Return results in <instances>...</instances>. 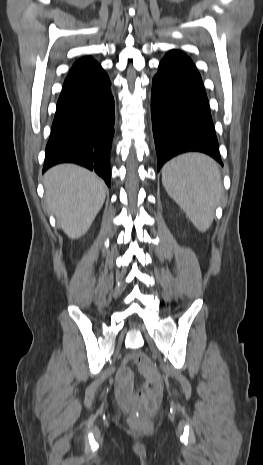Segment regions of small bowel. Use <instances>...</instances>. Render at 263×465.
Wrapping results in <instances>:
<instances>
[{"label": "small bowel", "instance_id": "1", "mask_svg": "<svg viewBox=\"0 0 263 465\" xmlns=\"http://www.w3.org/2000/svg\"><path fill=\"white\" fill-rule=\"evenodd\" d=\"M132 359H128L127 362L121 367L117 376L116 393L118 399L123 404H131L137 400V396L133 394V373L128 363ZM148 380H156V377L152 374L148 375Z\"/></svg>", "mask_w": 263, "mask_h": 465}]
</instances>
